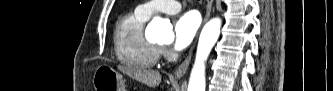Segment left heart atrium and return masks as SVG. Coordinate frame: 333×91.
<instances>
[{
    "instance_id": "left-heart-atrium-1",
    "label": "left heart atrium",
    "mask_w": 333,
    "mask_h": 91,
    "mask_svg": "<svg viewBox=\"0 0 333 91\" xmlns=\"http://www.w3.org/2000/svg\"><path fill=\"white\" fill-rule=\"evenodd\" d=\"M199 17L194 12H187L178 17L173 26V48L181 51L193 41L199 28Z\"/></svg>"
}]
</instances>
